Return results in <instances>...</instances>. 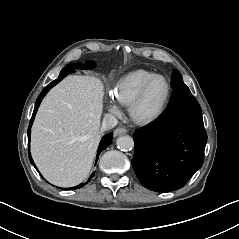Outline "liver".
Wrapping results in <instances>:
<instances>
[{
    "label": "liver",
    "mask_w": 239,
    "mask_h": 239,
    "mask_svg": "<svg viewBox=\"0 0 239 239\" xmlns=\"http://www.w3.org/2000/svg\"><path fill=\"white\" fill-rule=\"evenodd\" d=\"M103 84L69 75L43 99L31 132L32 158L44 178L60 187L85 180L101 139Z\"/></svg>",
    "instance_id": "6515ba94"
}]
</instances>
